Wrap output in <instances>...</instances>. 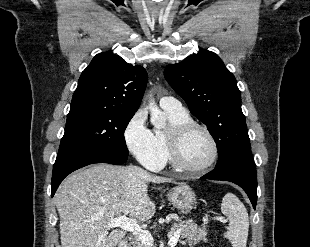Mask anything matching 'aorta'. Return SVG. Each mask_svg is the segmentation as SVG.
Listing matches in <instances>:
<instances>
[{"instance_id":"obj_1","label":"aorta","mask_w":310,"mask_h":247,"mask_svg":"<svg viewBox=\"0 0 310 247\" xmlns=\"http://www.w3.org/2000/svg\"><path fill=\"white\" fill-rule=\"evenodd\" d=\"M149 110H150V120L152 125L157 129H163L166 127V118L164 113L158 108L154 99L149 101Z\"/></svg>"}]
</instances>
